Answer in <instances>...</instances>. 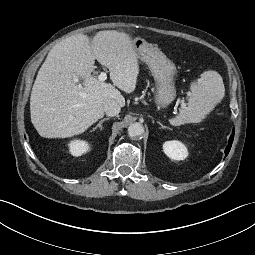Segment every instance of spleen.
Wrapping results in <instances>:
<instances>
[{"label": "spleen", "mask_w": 255, "mask_h": 255, "mask_svg": "<svg viewBox=\"0 0 255 255\" xmlns=\"http://www.w3.org/2000/svg\"><path fill=\"white\" fill-rule=\"evenodd\" d=\"M225 94L223 80L216 71H207L201 75L198 83L191 85L187 107L182 108L178 116L171 120L174 126L186 123H199L212 111Z\"/></svg>", "instance_id": "obj_1"}]
</instances>
